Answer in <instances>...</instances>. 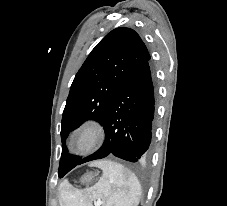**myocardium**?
<instances>
[{
    "mask_svg": "<svg viewBox=\"0 0 227 206\" xmlns=\"http://www.w3.org/2000/svg\"><path fill=\"white\" fill-rule=\"evenodd\" d=\"M106 138V127L98 119H89L77 126L70 135L69 145L77 154H89Z\"/></svg>",
    "mask_w": 227,
    "mask_h": 206,
    "instance_id": "obj_1",
    "label": "myocardium"
}]
</instances>
